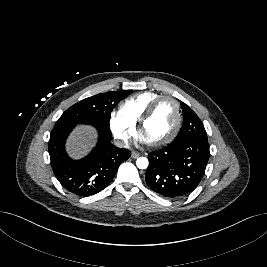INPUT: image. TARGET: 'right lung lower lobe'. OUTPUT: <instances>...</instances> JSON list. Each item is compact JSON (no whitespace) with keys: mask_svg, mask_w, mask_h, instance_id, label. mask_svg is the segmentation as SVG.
<instances>
[{"mask_svg":"<svg viewBox=\"0 0 267 267\" xmlns=\"http://www.w3.org/2000/svg\"><path fill=\"white\" fill-rule=\"evenodd\" d=\"M99 132L97 146L81 160H72L65 151V141L74 125H55L49 140V155L53 172L69 192L87 197L106 188L117 173L119 165L131 152L111 144L109 126L92 124Z\"/></svg>","mask_w":267,"mask_h":267,"instance_id":"right-lung-lower-lobe-1","label":"right lung lower lobe"}]
</instances>
